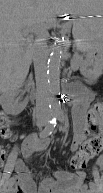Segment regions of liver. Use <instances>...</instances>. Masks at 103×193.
Returning a JSON list of instances; mask_svg holds the SVG:
<instances>
[{"label": "liver", "instance_id": "6515ba94", "mask_svg": "<svg viewBox=\"0 0 103 193\" xmlns=\"http://www.w3.org/2000/svg\"><path fill=\"white\" fill-rule=\"evenodd\" d=\"M80 0H1V71L5 81L19 84L27 75L32 47L26 36H42L54 18L73 12Z\"/></svg>", "mask_w": 103, "mask_h": 193}]
</instances>
